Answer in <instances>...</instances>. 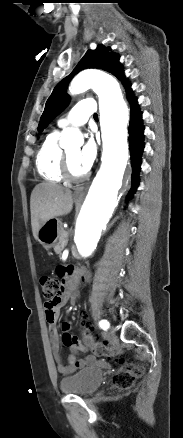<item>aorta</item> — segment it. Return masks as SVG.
<instances>
[{
    "instance_id": "762f6f07",
    "label": "aorta",
    "mask_w": 183,
    "mask_h": 438,
    "mask_svg": "<svg viewBox=\"0 0 183 438\" xmlns=\"http://www.w3.org/2000/svg\"><path fill=\"white\" fill-rule=\"evenodd\" d=\"M89 88L99 97L103 153L101 167L76 219L74 240L83 258L93 254L112 216L128 160L129 110L119 83L109 75L84 71L72 80L69 92L74 95ZM74 133L71 128L64 129L61 145L70 143Z\"/></svg>"
}]
</instances>
